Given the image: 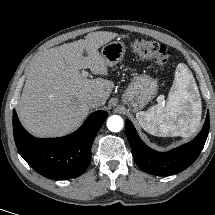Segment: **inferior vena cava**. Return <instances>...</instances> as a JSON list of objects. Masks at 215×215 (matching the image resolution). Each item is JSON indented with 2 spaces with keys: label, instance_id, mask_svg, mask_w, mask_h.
I'll list each match as a JSON object with an SVG mask.
<instances>
[{
  "label": "inferior vena cava",
  "instance_id": "602c4592",
  "mask_svg": "<svg viewBox=\"0 0 215 215\" xmlns=\"http://www.w3.org/2000/svg\"><path fill=\"white\" fill-rule=\"evenodd\" d=\"M87 104L90 108L99 107L102 105V101L98 97H90L87 99Z\"/></svg>",
  "mask_w": 215,
  "mask_h": 215
}]
</instances>
